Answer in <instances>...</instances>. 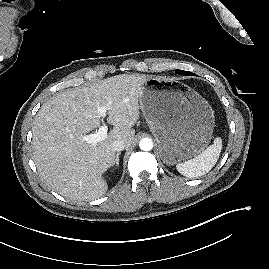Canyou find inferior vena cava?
<instances>
[{
	"instance_id": "obj_1",
	"label": "inferior vena cava",
	"mask_w": 269,
	"mask_h": 269,
	"mask_svg": "<svg viewBox=\"0 0 269 269\" xmlns=\"http://www.w3.org/2000/svg\"><path fill=\"white\" fill-rule=\"evenodd\" d=\"M111 148L114 152L122 151L125 148V142L123 140H115L112 143Z\"/></svg>"
}]
</instances>
